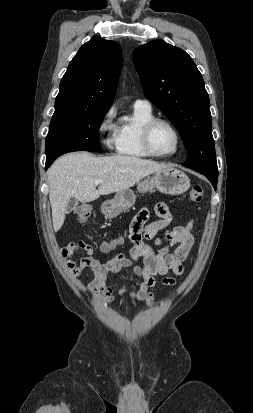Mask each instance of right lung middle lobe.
<instances>
[{"instance_id": "dd1d6c3e", "label": "right lung middle lobe", "mask_w": 253, "mask_h": 413, "mask_svg": "<svg viewBox=\"0 0 253 413\" xmlns=\"http://www.w3.org/2000/svg\"><path fill=\"white\" fill-rule=\"evenodd\" d=\"M107 112L53 116L46 137V161L73 151L101 153L98 130Z\"/></svg>"}]
</instances>
